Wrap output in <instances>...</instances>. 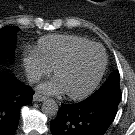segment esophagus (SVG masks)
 <instances>
[{"label":"esophagus","instance_id":"obj_1","mask_svg":"<svg viewBox=\"0 0 135 135\" xmlns=\"http://www.w3.org/2000/svg\"><path fill=\"white\" fill-rule=\"evenodd\" d=\"M45 100H46V97L39 93H35L33 95V101H35V102H41V101H45Z\"/></svg>","mask_w":135,"mask_h":135}]
</instances>
